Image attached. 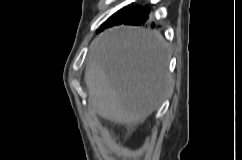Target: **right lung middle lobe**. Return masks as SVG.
Listing matches in <instances>:
<instances>
[{
  "mask_svg": "<svg viewBox=\"0 0 242 160\" xmlns=\"http://www.w3.org/2000/svg\"><path fill=\"white\" fill-rule=\"evenodd\" d=\"M136 10H138V8H136V7L122 9L121 11H119V12L115 13L113 16H111L105 23H103L97 32L102 31L105 28H108L110 26L117 24L118 22L127 18L130 14H132Z\"/></svg>",
  "mask_w": 242,
  "mask_h": 160,
  "instance_id": "right-lung-middle-lobe-1",
  "label": "right lung middle lobe"
}]
</instances>
